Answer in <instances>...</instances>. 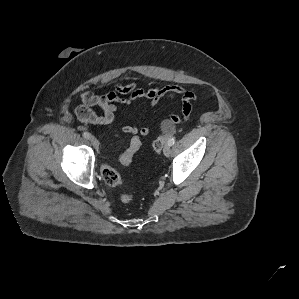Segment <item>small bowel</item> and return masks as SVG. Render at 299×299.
<instances>
[{
  "mask_svg": "<svg viewBox=\"0 0 299 299\" xmlns=\"http://www.w3.org/2000/svg\"><path fill=\"white\" fill-rule=\"evenodd\" d=\"M180 98L181 112L174 113L170 122L180 124L185 122L191 113L192 103L196 100L193 92L181 86L140 88L136 82L118 83L114 89L102 95L90 91L81 93V104L76 108V115L83 124L110 125L115 121L118 105L130 104L138 99H147L151 107H156L164 98ZM102 110L98 114L94 108ZM123 131L131 136H146L150 130L147 127L137 128L131 125H123Z\"/></svg>",
  "mask_w": 299,
  "mask_h": 299,
  "instance_id": "1",
  "label": "small bowel"
}]
</instances>
